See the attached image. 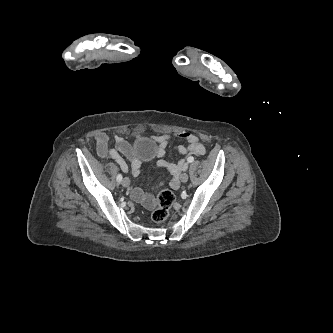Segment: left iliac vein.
<instances>
[{"label":"left iliac vein","mask_w":333,"mask_h":333,"mask_svg":"<svg viewBox=\"0 0 333 333\" xmlns=\"http://www.w3.org/2000/svg\"><path fill=\"white\" fill-rule=\"evenodd\" d=\"M180 181L183 183H186L188 181V174L186 172L180 174Z\"/></svg>","instance_id":"1"}]
</instances>
